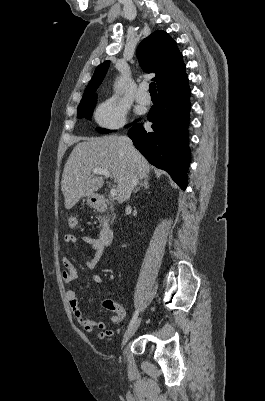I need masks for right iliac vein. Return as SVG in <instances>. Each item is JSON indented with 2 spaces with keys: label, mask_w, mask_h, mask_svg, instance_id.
<instances>
[{
  "label": "right iliac vein",
  "mask_w": 265,
  "mask_h": 401,
  "mask_svg": "<svg viewBox=\"0 0 265 401\" xmlns=\"http://www.w3.org/2000/svg\"><path fill=\"white\" fill-rule=\"evenodd\" d=\"M141 322V317H139L134 323L133 325H131L127 331L125 332L123 339H122V343H121V348L127 343V341L134 335V333L136 332V330L138 329L139 325Z\"/></svg>",
  "instance_id": "1"
}]
</instances>
